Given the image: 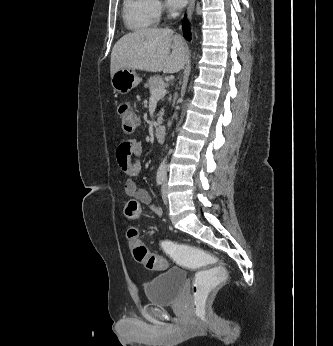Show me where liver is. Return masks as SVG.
Instances as JSON below:
<instances>
[{
    "mask_svg": "<svg viewBox=\"0 0 333 346\" xmlns=\"http://www.w3.org/2000/svg\"><path fill=\"white\" fill-rule=\"evenodd\" d=\"M188 59L181 36L170 29H142L124 35L111 52V76L119 69L177 73Z\"/></svg>",
    "mask_w": 333,
    "mask_h": 346,
    "instance_id": "obj_1",
    "label": "liver"
}]
</instances>
